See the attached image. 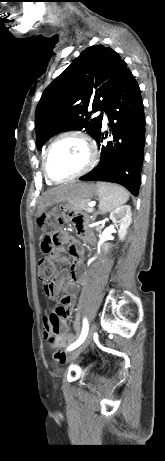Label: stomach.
Segmentation results:
<instances>
[{"label": "stomach", "mask_w": 165, "mask_h": 461, "mask_svg": "<svg viewBox=\"0 0 165 461\" xmlns=\"http://www.w3.org/2000/svg\"><path fill=\"white\" fill-rule=\"evenodd\" d=\"M98 194V188L91 182H71L50 192L39 209L38 215L44 214L55 204L73 199H91Z\"/></svg>", "instance_id": "0dacf381"}]
</instances>
